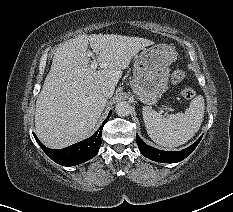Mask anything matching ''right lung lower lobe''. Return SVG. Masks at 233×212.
I'll use <instances>...</instances> for the list:
<instances>
[{"label": "right lung lower lobe", "instance_id": "98d812e1", "mask_svg": "<svg viewBox=\"0 0 233 212\" xmlns=\"http://www.w3.org/2000/svg\"><path fill=\"white\" fill-rule=\"evenodd\" d=\"M111 115V111L109 112L108 117L103 122L102 126L98 129V131L91 136L90 138L71 145L69 147L53 150L46 148L36 137H34L43 151L56 163L63 165V166H73L77 164H81L83 162L88 161L89 159L93 158L97 153L101 145V136H102V129L104 123L107 122Z\"/></svg>", "mask_w": 233, "mask_h": 212}]
</instances>
